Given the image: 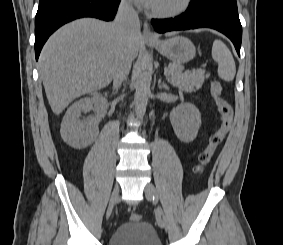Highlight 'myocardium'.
Segmentation results:
<instances>
[{"mask_svg": "<svg viewBox=\"0 0 283 245\" xmlns=\"http://www.w3.org/2000/svg\"><path fill=\"white\" fill-rule=\"evenodd\" d=\"M192 2L193 0H180V2L176 6L168 9H158L151 7L149 9V13L152 16L159 18L177 17L186 12L192 5Z\"/></svg>", "mask_w": 283, "mask_h": 245, "instance_id": "1", "label": "myocardium"}]
</instances>
